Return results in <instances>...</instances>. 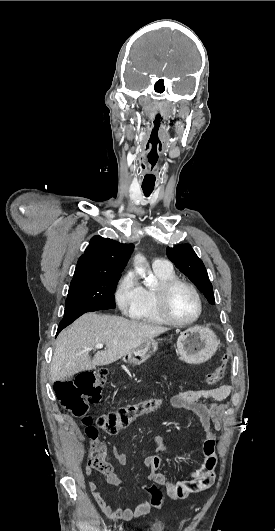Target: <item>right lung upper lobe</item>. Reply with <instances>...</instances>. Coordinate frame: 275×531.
Listing matches in <instances>:
<instances>
[{"mask_svg": "<svg viewBox=\"0 0 275 531\" xmlns=\"http://www.w3.org/2000/svg\"><path fill=\"white\" fill-rule=\"evenodd\" d=\"M133 249V244H122L109 238L94 236L79 258L73 277L121 275Z\"/></svg>", "mask_w": 275, "mask_h": 531, "instance_id": "obj_1", "label": "right lung upper lobe"}]
</instances>
